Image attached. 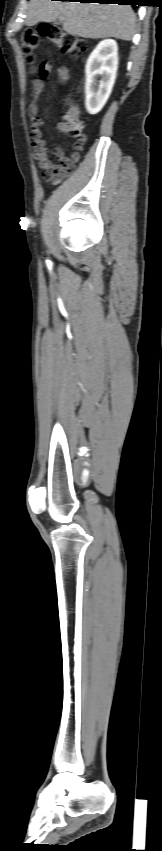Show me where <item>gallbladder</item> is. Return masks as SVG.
I'll use <instances>...</instances> for the list:
<instances>
[{"mask_svg": "<svg viewBox=\"0 0 162 851\" xmlns=\"http://www.w3.org/2000/svg\"><path fill=\"white\" fill-rule=\"evenodd\" d=\"M54 23H55V24H59V23H61V20H60V19H56V20H54Z\"/></svg>", "mask_w": 162, "mask_h": 851, "instance_id": "1", "label": "gallbladder"}]
</instances>
